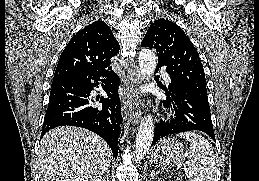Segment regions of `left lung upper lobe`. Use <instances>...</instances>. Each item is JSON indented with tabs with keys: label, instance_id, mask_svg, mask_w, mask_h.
<instances>
[{
	"label": "left lung upper lobe",
	"instance_id": "5c2ea615",
	"mask_svg": "<svg viewBox=\"0 0 259 181\" xmlns=\"http://www.w3.org/2000/svg\"><path fill=\"white\" fill-rule=\"evenodd\" d=\"M141 45L157 50L158 64L166 67L172 84L209 106L205 73L199 54L179 26L160 18L151 24Z\"/></svg>",
	"mask_w": 259,
	"mask_h": 181
}]
</instances>
